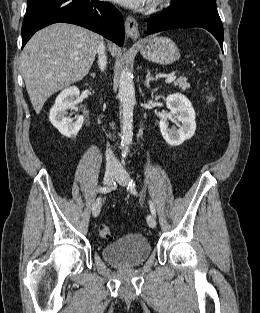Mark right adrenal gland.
I'll use <instances>...</instances> for the list:
<instances>
[{
	"mask_svg": "<svg viewBox=\"0 0 260 313\" xmlns=\"http://www.w3.org/2000/svg\"><path fill=\"white\" fill-rule=\"evenodd\" d=\"M91 76H92L93 78H95L96 74H95V73H91Z\"/></svg>",
	"mask_w": 260,
	"mask_h": 313,
	"instance_id": "1",
	"label": "right adrenal gland"
}]
</instances>
